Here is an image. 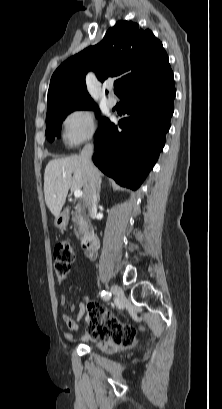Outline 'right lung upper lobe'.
I'll return each mask as SVG.
<instances>
[{"label": "right lung upper lobe", "mask_w": 222, "mask_h": 409, "mask_svg": "<svg viewBox=\"0 0 222 409\" xmlns=\"http://www.w3.org/2000/svg\"><path fill=\"white\" fill-rule=\"evenodd\" d=\"M94 71L100 81L119 77L117 96L155 87V79L171 72L162 43L149 29L137 23L118 21L103 40L62 63L54 72L48 90L47 111L72 104L93 103L85 76Z\"/></svg>", "instance_id": "right-lung-upper-lobe-1"}]
</instances>
